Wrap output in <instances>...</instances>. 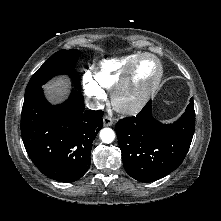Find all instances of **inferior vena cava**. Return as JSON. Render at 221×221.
<instances>
[{"label": "inferior vena cava", "mask_w": 221, "mask_h": 221, "mask_svg": "<svg viewBox=\"0 0 221 221\" xmlns=\"http://www.w3.org/2000/svg\"><path fill=\"white\" fill-rule=\"evenodd\" d=\"M87 107H88L89 109L95 110V109H101V108H103V105H101L99 102H95V103H90V102H88V103H87Z\"/></svg>", "instance_id": "inferior-vena-cava-1"}]
</instances>
